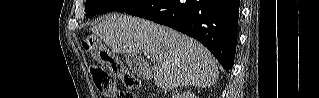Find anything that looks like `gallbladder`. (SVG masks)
Segmentation results:
<instances>
[{"mask_svg": "<svg viewBox=\"0 0 319 98\" xmlns=\"http://www.w3.org/2000/svg\"><path fill=\"white\" fill-rule=\"evenodd\" d=\"M126 63L130 70L133 72H138V60L132 55H126Z\"/></svg>", "mask_w": 319, "mask_h": 98, "instance_id": "1", "label": "gallbladder"}]
</instances>
